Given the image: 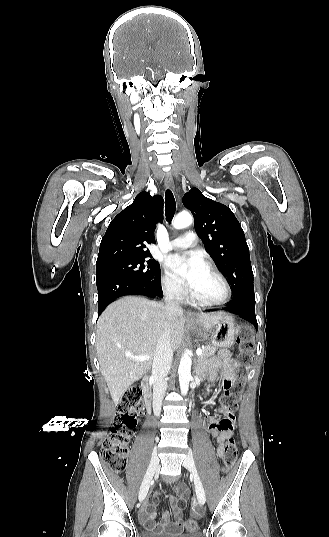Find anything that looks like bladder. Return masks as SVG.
Here are the masks:
<instances>
[{
    "label": "bladder",
    "mask_w": 329,
    "mask_h": 537,
    "mask_svg": "<svg viewBox=\"0 0 329 537\" xmlns=\"http://www.w3.org/2000/svg\"><path fill=\"white\" fill-rule=\"evenodd\" d=\"M142 537H200L198 531H192L184 534H169V533H157L150 530H143L141 532Z\"/></svg>",
    "instance_id": "obj_1"
}]
</instances>
